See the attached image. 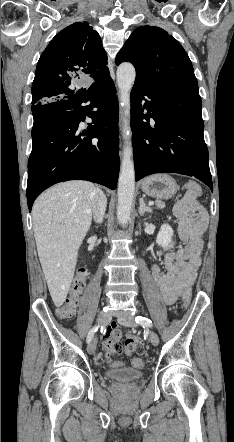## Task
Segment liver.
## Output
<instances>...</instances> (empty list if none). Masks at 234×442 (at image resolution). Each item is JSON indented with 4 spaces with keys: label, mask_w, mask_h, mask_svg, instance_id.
Masks as SVG:
<instances>
[{
    "label": "liver",
    "mask_w": 234,
    "mask_h": 442,
    "mask_svg": "<svg viewBox=\"0 0 234 442\" xmlns=\"http://www.w3.org/2000/svg\"><path fill=\"white\" fill-rule=\"evenodd\" d=\"M94 188L87 181L63 182L41 194L32 208L38 256L56 307L66 300L91 225Z\"/></svg>",
    "instance_id": "liver-1"
}]
</instances>
